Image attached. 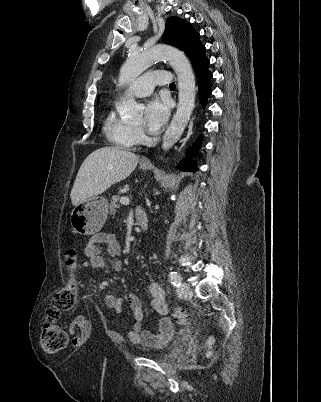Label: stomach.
I'll list each match as a JSON object with an SVG mask.
<instances>
[{
    "instance_id": "stomach-1",
    "label": "stomach",
    "mask_w": 321,
    "mask_h": 402,
    "mask_svg": "<svg viewBox=\"0 0 321 402\" xmlns=\"http://www.w3.org/2000/svg\"><path fill=\"white\" fill-rule=\"evenodd\" d=\"M142 170L148 166L141 165ZM108 215V201L102 196H93L75 206L70 222L75 233L93 235L101 230Z\"/></svg>"
}]
</instances>
